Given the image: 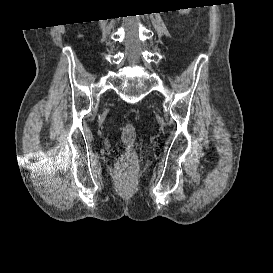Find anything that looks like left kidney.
Segmentation results:
<instances>
[{"label":"left kidney","mask_w":273,"mask_h":273,"mask_svg":"<svg viewBox=\"0 0 273 273\" xmlns=\"http://www.w3.org/2000/svg\"><path fill=\"white\" fill-rule=\"evenodd\" d=\"M189 10H190V9H181V10H179V12H180L181 14H186V13H189Z\"/></svg>","instance_id":"5707ae66"}]
</instances>
